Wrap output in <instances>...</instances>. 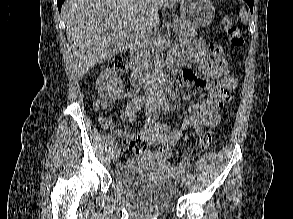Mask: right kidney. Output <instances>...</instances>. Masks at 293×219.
I'll return each instance as SVG.
<instances>
[{"label":"right kidney","instance_id":"ca27d5eb","mask_svg":"<svg viewBox=\"0 0 293 219\" xmlns=\"http://www.w3.org/2000/svg\"><path fill=\"white\" fill-rule=\"evenodd\" d=\"M98 95L101 99L111 102L123 92V83L115 70L102 71L96 82Z\"/></svg>","mask_w":293,"mask_h":219}]
</instances>
